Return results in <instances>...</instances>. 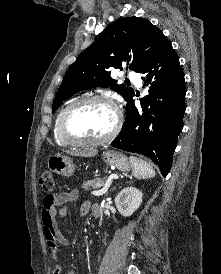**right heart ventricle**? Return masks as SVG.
Here are the masks:
<instances>
[{
  "label": "right heart ventricle",
  "mask_w": 221,
  "mask_h": 274,
  "mask_svg": "<svg viewBox=\"0 0 221 274\" xmlns=\"http://www.w3.org/2000/svg\"><path fill=\"white\" fill-rule=\"evenodd\" d=\"M64 108L57 114L55 121H54V126H53V137L55 142L60 145V146H68L70 145L68 142H66L60 135L59 133V119L61 116L62 111Z\"/></svg>",
  "instance_id": "1"
}]
</instances>
